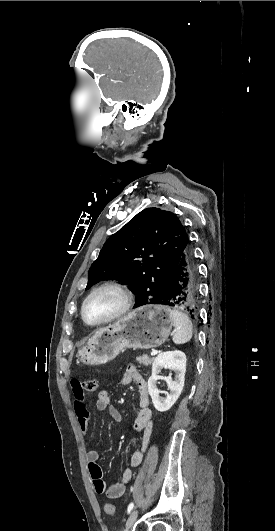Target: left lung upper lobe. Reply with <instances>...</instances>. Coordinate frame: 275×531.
I'll return each instance as SVG.
<instances>
[{
    "label": "left lung upper lobe",
    "instance_id": "1",
    "mask_svg": "<svg viewBox=\"0 0 275 531\" xmlns=\"http://www.w3.org/2000/svg\"><path fill=\"white\" fill-rule=\"evenodd\" d=\"M187 243L185 228L174 213L144 209L105 242L88 271L86 289L116 279L127 282L136 295L134 308L159 303Z\"/></svg>",
    "mask_w": 275,
    "mask_h": 531
}]
</instances>
